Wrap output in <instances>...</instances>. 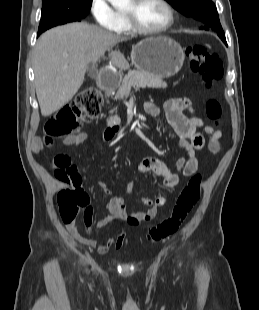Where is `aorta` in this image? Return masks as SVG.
<instances>
[{"mask_svg":"<svg viewBox=\"0 0 259 310\" xmlns=\"http://www.w3.org/2000/svg\"><path fill=\"white\" fill-rule=\"evenodd\" d=\"M130 0H108L114 8H122L129 3Z\"/></svg>","mask_w":259,"mask_h":310,"instance_id":"762f6f07","label":"aorta"}]
</instances>
